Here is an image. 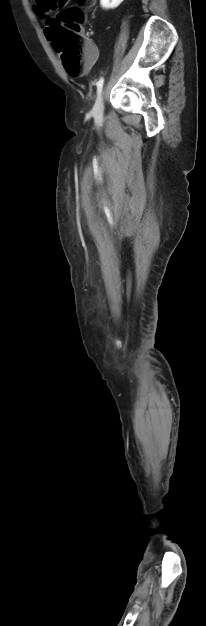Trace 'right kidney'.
Wrapping results in <instances>:
<instances>
[{
	"mask_svg": "<svg viewBox=\"0 0 206 626\" xmlns=\"http://www.w3.org/2000/svg\"><path fill=\"white\" fill-rule=\"evenodd\" d=\"M123 0H100V5L103 9L109 10L118 7Z\"/></svg>",
	"mask_w": 206,
	"mask_h": 626,
	"instance_id": "right-kidney-1",
	"label": "right kidney"
}]
</instances>
